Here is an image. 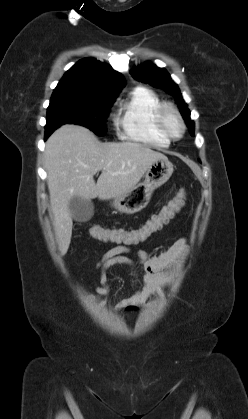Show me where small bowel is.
I'll return each mask as SVG.
<instances>
[{"instance_id": "c3829d8e", "label": "small bowel", "mask_w": 248, "mask_h": 419, "mask_svg": "<svg viewBox=\"0 0 248 419\" xmlns=\"http://www.w3.org/2000/svg\"><path fill=\"white\" fill-rule=\"evenodd\" d=\"M144 226L145 224L133 230L122 231L128 235H136L144 229ZM153 233L136 237L131 242L111 248L97 263L96 267L100 273V285L96 287V292L100 295H106L109 292L107 271L116 265L137 268V265L127 257L130 253L135 254L140 259L143 272L142 286L132 296L119 301L115 305V310L124 309L128 313H133L139 307L146 305L151 295L161 294L172 283L179 268L187 257L188 244L185 238L178 239L166 251L155 256H148L142 250H133L131 248L132 244L146 240Z\"/></svg>"}]
</instances>
